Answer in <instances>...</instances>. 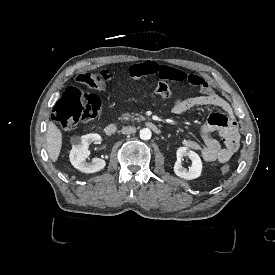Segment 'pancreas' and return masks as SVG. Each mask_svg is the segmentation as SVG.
Listing matches in <instances>:
<instances>
[{"mask_svg": "<svg viewBox=\"0 0 275 275\" xmlns=\"http://www.w3.org/2000/svg\"><path fill=\"white\" fill-rule=\"evenodd\" d=\"M136 116H140L138 113H131V114H129V113H125V114H123L122 115V119H124V120H140V119H142V117H136Z\"/></svg>", "mask_w": 275, "mask_h": 275, "instance_id": "cf45deb5", "label": "pancreas"}]
</instances>
